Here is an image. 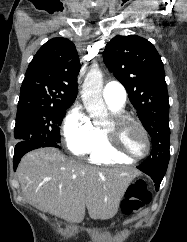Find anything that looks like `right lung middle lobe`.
Listing matches in <instances>:
<instances>
[{"label": "right lung middle lobe", "mask_w": 187, "mask_h": 242, "mask_svg": "<svg viewBox=\"0 0 187 242\" xmlns=\"http://www.w3.org/2000/svg\"><path fill=\"white\" fill-rule=\"evenodd\" d=\"M67 108H17L14 136L18 141L60 143V126Z\"/></svg>", "instance_id": "dd1d6c3e"}]
</instances>
